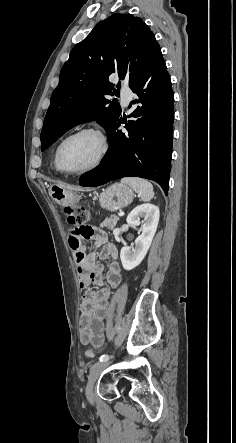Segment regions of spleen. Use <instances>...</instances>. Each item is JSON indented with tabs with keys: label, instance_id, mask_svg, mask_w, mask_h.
Returning <instances> with one entry per match:
<instances>
[{
	"label": "spleen",
	"instance_id": "spleen-1",
	"mask_svg": "<svg viewBox=\"0 0 236 443\" xmlns=\"http://www.w3.org/2000/svg\"><path fill=\"white\" fill-rule=\"evenodd\" d=\"M121 183L130 186L143 201H150L154 197L153 185L142 178L126 177Z\"/></svg>",
	"mask_w": 236,
	"mask_h": 443
}]
</instances>
